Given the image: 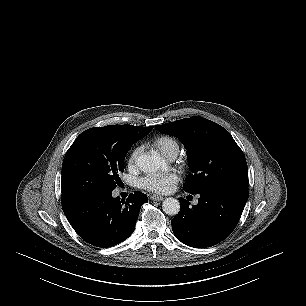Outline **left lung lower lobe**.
Wrapping results in <instances>:
<instances>
[{
    "mask_svg": "<svg viewBox=\"0 0 306 306\" xmlns=\"http://www.w3.org/2000/svg\"><path fill=\"white\" fill-rule=\"evenodd\" d=\"M197 205L180 198L181 208L172 219L174 235L182 243L196 248L218 244L235 229L249 193L234 188H215L197 193Z\"/></svg>",
    "mask_w": 306,
    "mask_h": 306,
    "instance_id": "1",
    "label": "left lung lower lobe"
}]
</instances>
